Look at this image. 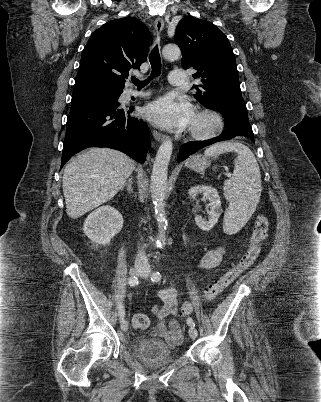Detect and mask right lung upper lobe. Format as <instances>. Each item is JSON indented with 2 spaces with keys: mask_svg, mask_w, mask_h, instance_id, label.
I'll list each match as a JSON object with an SVG mask.
<instances>
[{
  "mask_svg": "<svg viewBox=\"0 0 321 402\" xmlns=\"http://www.w3.org/2000/svg\"><path fill=\"white\" fill-rule=\"evenodd\" d=\"M148 29L136 18L111 20L86 44L75 85L100 84L123 89L131 69H139L149 50Z\"/></svg>",
  "mask_w": 321,
  "mask_h": 402,
  "instance_id": "1",
  "label": "right lung upper lobe"
}]
</instances>
